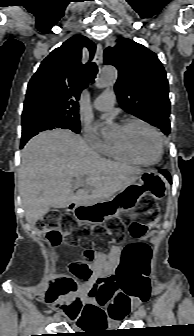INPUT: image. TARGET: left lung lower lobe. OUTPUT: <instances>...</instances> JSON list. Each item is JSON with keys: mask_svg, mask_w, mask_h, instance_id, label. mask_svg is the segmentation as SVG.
Wrapping results in <instances>:
<instances>
[{"mask_svg": "<svg viewBox=\"0 0 194 336\" xmlns=\"http://www.w3.org/2000/svg\"><path fill=\"white\" fill-rule=\"evenodd\" d=\"M160 172L171 182V176L167 171L160 170Z\"/></svg>", "mask_w": 194, "mask_h": 336, "instance_id": "left-lung-lower-lobe-1", "label": "left lung lower lobe"}]
</instances>
